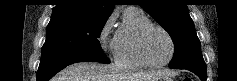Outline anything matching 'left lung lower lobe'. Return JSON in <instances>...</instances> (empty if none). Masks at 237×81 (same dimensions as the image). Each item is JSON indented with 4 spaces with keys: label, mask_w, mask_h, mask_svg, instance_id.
I'll list each match as a JSON object with an SVG mask.
<instances>
[{
    "label": "left lung lower lobe",
    "mask_w": 237,
    "mask_h": 81,
    "mask_svg": "<svg viewBox=\"0 0 237 81\" xmlns=\"http://www.w3.org/2000/svg\"><path fill=\"white\" fill-rule=\"evenodd\" d=\"M186 70L195 73L202 81H206V69L189 68Z\"/></svg>",
    "instance_id": "left-lung-lower-lobe-1"
}]
</instances>
